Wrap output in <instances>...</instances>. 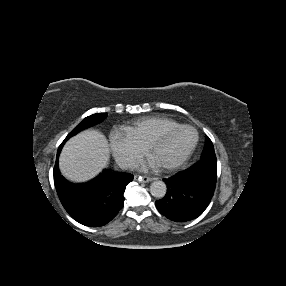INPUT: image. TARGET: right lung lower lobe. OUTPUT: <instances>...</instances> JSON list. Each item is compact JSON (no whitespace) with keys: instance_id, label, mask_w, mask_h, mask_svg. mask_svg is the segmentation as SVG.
<instances>
[{"instance_id":"98d812e1","label":"right lung lower lobe","mask_w":286,"mask_h":286,"mask_svg":"<svg viewBox=\"0 0 286 286\" xmlns=\"http://www.w3.org/2000/svg\"><path fill=\"white\" fill-rule=\"evenodd\" d=\"M63 144L58 149L54 167V183L63 207L74 220L85 226L105 225L123 207V194L133 175L105 170L87 183H71L63 178L58 168V156Z\"/></svg>"}]
</instances>
